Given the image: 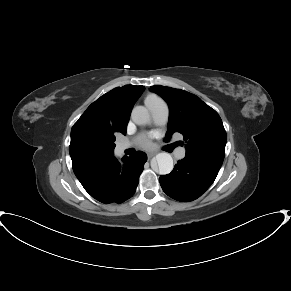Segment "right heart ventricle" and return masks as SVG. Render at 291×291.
<instances>
[{
	"label": "right heart ventricle",
	"instance_id": "obj_1",
	"mask_svg": "<svg viewBox=\"0 0 291 291\" xmlns=\"http://www.w3.org/2000/svg\"><path fill=\"white\" fill-rule=\"evenodd\" d=\"M157 99H160L158 96L156 95H148L145 102H151V101H154V100H157Z\"/></svg>",
	"mask_w": 291,
	"mask_h": 291
}]
</instances>
